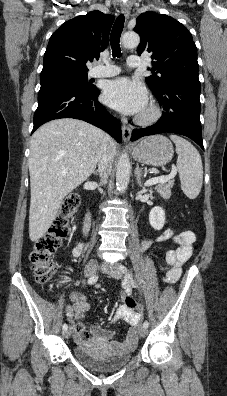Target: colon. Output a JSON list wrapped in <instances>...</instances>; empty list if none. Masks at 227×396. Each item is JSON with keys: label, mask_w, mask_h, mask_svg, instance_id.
I'll return each mask as SVG.
<instances>
[{"label": "colon", "mask_w": 227, "mask_h": 396, "mask_svg": "<svg viewBox=\"0 0 227 396\" xmlns=\"http://www.w3.org/2000/svg\"><path fill=\"white\" fill-rule=\"evenodd\" d=\"M79 201L76 195L67 197L47 233L34 244L30 261L33 264L35 280L38 284H47L56 272L53 256L68 234L69 220L78 208ZM126 304L139 312L142 310V307L132 298H128Z\"/></svg>", "instance_id": "obj_1"}]
</instances>
